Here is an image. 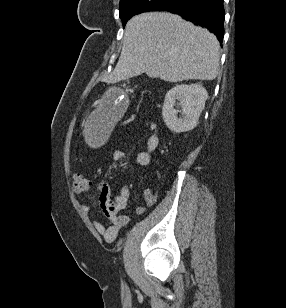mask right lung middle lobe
<instances>
[{
	"instance_id": "right-lung-middle-lobe-1",
	"label": "right lung middle lobe",
	"mask_w": 286,
	"mask_h": 308,
	"mask_svg": "<svg viewBox=\"0 0 286 308\" xmlns=\"http://www.w3.org/2000/svg\"><path fill=\"white\" fill-rule=\"evenodd\" d=\"M168 0H122L119 11L123 26L133 16L142 12L153 11Z\"/></svg>"
}]
</instances>
